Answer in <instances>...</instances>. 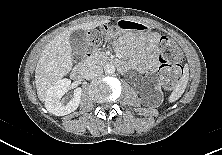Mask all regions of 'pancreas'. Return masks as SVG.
Listing matches in <instances>:
<instances>
[{"label":"pancreas","mask_w":222,"mask_h":155,"mask_svg":"<svg viewBox=\"0 0 222 155\" xmlns=\"http://www.w3.org/2000/svg\"><path fill=\"white\" fill-rule=\"evenodd\" d=\"M108 60H109V57L104 52H101V51L95 52V55H94L95 62L105 63Z\"/></svg>","instance_id":"pancreas-1"}]
</instances>
